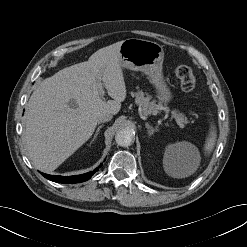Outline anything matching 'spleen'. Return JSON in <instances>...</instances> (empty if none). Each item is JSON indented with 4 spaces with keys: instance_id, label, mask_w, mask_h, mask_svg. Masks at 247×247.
Returning a JSON list of instances; mask_svg holds the SVG:
<instances>
[{
    "instance_id": "1",
    "label": "spleen",
    "mask_w": 247,
    "mask_h": 247,
    "mask_svg": "<svg viewBox=\"0 0 247 247\" xmlns=\"http://www.w3.org/2000/svg\"><path fill=\"white\" fill-rule=\"evenodd\" d=\"M215 143H216V130L215 127L212 125L204 146V150L207 154L213 151ZM166 169L170 173H173L170 164L166 165Z\"/></svg>"
}]
</instances>
